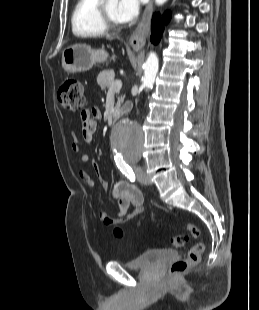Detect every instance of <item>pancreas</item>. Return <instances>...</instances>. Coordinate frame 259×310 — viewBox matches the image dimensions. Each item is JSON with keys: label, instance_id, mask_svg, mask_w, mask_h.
Instances as JSON below:
<instances>
[{"label": "pancreas", "instance_id": "pancreas-1", "mask_svg": "<svg viewBox=\"0 0 259 310\" xmlns=\"http://www.w3.org/2000/svg\"><path fill=\"white\" fill-rule=\"evenodd\" d=\"M114 72L113 71H103L97 77V83L101 89H109L111 84L114 82ZM124 102V97H120L115 107V114L119 111L121 104Z\"/></svg>", "mask_w": 259, "mask_h": 310}]
</instances>
